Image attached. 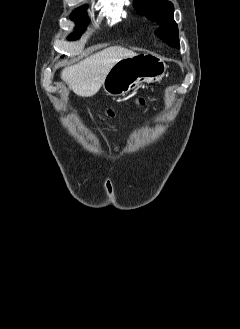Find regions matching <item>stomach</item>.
<instances>
[{
  "label": "stomach",
  "mask_w": 240,
  "mask_h": 329,
  "mask_svg": "<svg viewBox=\"0 0 240 329\" xmlns=\"http://www.w3.org/2000/svg\"><path fill=\"white\" fill-rule=\"evenodd\" d=\"M167 70L165 61L154 53H140L116 62L103 81L104 91L111 96H121L134 90L142 82H155Z\"/></svg>",
  "instance_id": "stomach-1"
}]
</instances>
